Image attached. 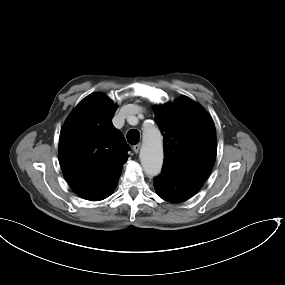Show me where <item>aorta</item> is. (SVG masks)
<instances>
[{
    "label": "aorta",
    "instance_id": "obj_1",
    "mask_svg": "<svg viewBox=\"0 0 285 285\" xmlns=\"http://www.w3.org/2000/svg\"><path fill=\"white\" fill-rule=\"evenodd\" d=\"M140 161L148 176H156L161 172L163 164V143L158 128L148 124L143 130V145L140 150Z\"/></svg>",
    "mask_w": 285,
    "mask_h": 285
}]
</instances>
